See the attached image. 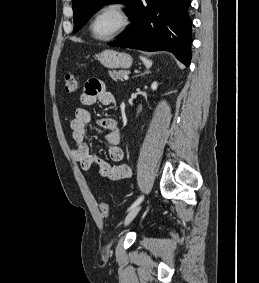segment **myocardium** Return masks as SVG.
<instances>
[{"mask_svg": "<svg viewBox=\"0 0 259 283\" xmlns=\"http://www.w3.org/2000/svg\"><path fill=\"white\" fill-rule=\"evenodd\" d=\"M107 11H115L120 16L121 23L119 27L110 35L105 37H98L93 32L94 22L100 15H102ZM129 24H130V14L127 7L123 3L113 1L102 5L94 12V14L90 19L88 28L90 35L93 39L97 41L105 42V41H110L116 38L117 36H119L120 34H122L128 28Z\"/></svg>", "mask_w": 259, "mask_h": 283, "instance_id": "obj_1", "label": "myocardium"}]
</instances>
